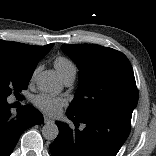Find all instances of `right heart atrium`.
I'll return each instance as SVG.
<instances>
[{"instance_id": "1", "label": "right heart atrium", "mask_w": 156, "mask_h": 156, "mask_svg": "<svg viewBox=\"0 0 156 156\" xmlns=\"http://www.w3.org/2000/svg\"><path fill=\"white\" fill-rule=\"evenodd\" d=\"M36 71H37V70H36ZM36 71L32 74L31 81L34 80V77H35Z\"/></svg>"}]
</instances>
